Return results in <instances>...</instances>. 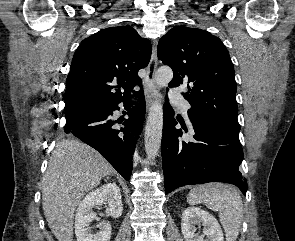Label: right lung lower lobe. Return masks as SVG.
<instances>
[{
	"instance_id": "right-lung-lower-lobe-1",
	"label": "right lung lower lobe",
	"mask_w": 295,
	"mask_h": 241,
	"mask_svg": "<svg viewBox=\"0 0 295 241\" xmlns=\"http://www.w3.org/2000/svg\"><path fill=\"white\" fill-rule=\"evenodd\" d=\"M138 95L139 103L132 109H129L131 96L86 108L66 119L64 129L65 133L73 134L100 152L127 181L131 176L132 154L146 110L142 89ZM121 102L129 109V118L124 121L114 120L113 111L120 109L118 104ZM120 123L124 128L117 127Z\"/></svg>"
}]
</instances>
